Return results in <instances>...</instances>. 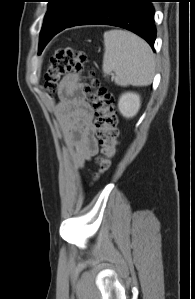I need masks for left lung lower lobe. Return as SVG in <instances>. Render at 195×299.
Here are the masks:
<instances>
[{"label":"left lung lower lobe","instance_id":"1","mask_svg":"<svg viewBox=\"0 0 195 299\" xmlns=\"http://www.w3.org/2000/svg\"><path fill=\"white\" fill-rule=\"evenodd\" d=\"M151 2L154 0H88L81 13L65 28L88 24L118 26L136 33L154 48L156 29ZM59 32L60 29L53 30L48 39Z\"/></svg>","mask_w":195,"mask_h":299}]
</instances>
